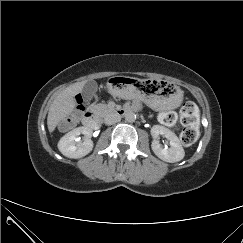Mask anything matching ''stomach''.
<instances>
[{
    "mask_svg": "<svg viewBox=\"0 0 243 243\" xmlns=\"http://www.w3.org/2000/svg\"><path fill=\"white\" fill-rule=\"evenodd\" d=\"M110 92L124 100L142 101L158 111H170L180 106L182 90L166 79L137 80L125 76H115L108 83Z\"/></svg>",
    "mask_w": 243,
    "mask_h": 243,
    "instance_id": "stomach-1",
    "label": "stomach"
}]
</instances>
